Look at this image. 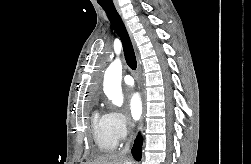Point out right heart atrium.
Returning <instances> with one entry per match:
<instances>
[{"mask_svg": "<svg viewBox=\"0 0 251 164\" xmlns=\"http://www.w3.org/2000/svg\"><path fill=\"white\" fill-rule=\"evenodd\" d=\"M112 133L117 140H123L127 137L131 129L129 119L119 111H112L107 114Z\"/></svg>", "mask_w": 251, "mask_h": 164, "instance_id": "d8ad5b80", "label": "right heart atrium"}]
</instances>
